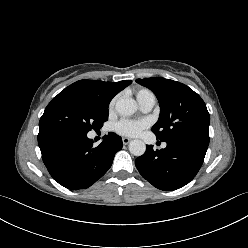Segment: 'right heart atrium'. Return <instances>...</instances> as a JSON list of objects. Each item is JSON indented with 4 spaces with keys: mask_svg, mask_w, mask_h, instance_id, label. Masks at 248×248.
<instances>
[{
    "mask_svg": "<svg viewBox=\"0 0 248 248\" xmlns=\"http://www.w3.org/2000/svg\"><path fill=\"white\" fill-rule=\"evenodd\" d=\"M116 100H117V98L115 97V98H113V99L110 101L109 107H108V109H109L110 112H112V111L114 110Z\"/></svg>",
    "mask_w": 248,
    "mask_h": 248,
    "instance_id": "right-heart-atrium-1",
    "label": "right heart atrium"
}]
</instances>
